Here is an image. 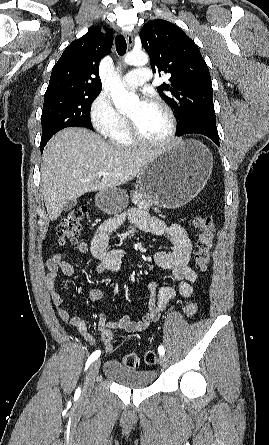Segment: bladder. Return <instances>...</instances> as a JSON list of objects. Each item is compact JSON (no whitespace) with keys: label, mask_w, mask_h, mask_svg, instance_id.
I'll use <instances>...</instances> for the list:
<instances>
[{"label":"bladder","mask_w":269,"mask_h":445,"mask_svg":"<svg viewBox=\"0 0 269 445\" xmlns=\"http://www.w3.org/2000/svg\"><path fill=\"white\" fill-rule=\"evenodd\" d=\"M104 375L117 384L130 389H144L151 386L157 377L152 369H132L117 360H109L103 367Z\"/></svg>","instance_id":"bladder-1"}]
</instances>
